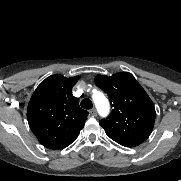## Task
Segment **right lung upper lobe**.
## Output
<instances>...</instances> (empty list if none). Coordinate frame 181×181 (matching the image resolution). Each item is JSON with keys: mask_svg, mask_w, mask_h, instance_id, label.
<instances>
[{"mask_svg": "<svg viewBox=\"0 0 181 181\" xmlns=\"http://www.w3.org/2000/svg\"><path fill=\"white\" fill-rule=\"evenodd\" d=\"M80 76L47 77L34 91L27 108L30 129L39 142L49 149L69 146L84 127L88 112L79 107L72 87Z\"/></svg>", "mask_w": 181, "mask_h": 181, "instance_id": "cb5924a9", "label": "right lung upper lobe"}]
</instances>
